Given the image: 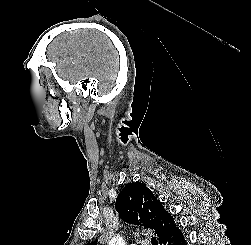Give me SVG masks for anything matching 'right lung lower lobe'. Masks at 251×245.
I'll list each match as a JSON object with an SVG mask.
<instances>
[{
	"mask_svg": "<svg viewBox=\"0 0 251 245\" xmlns=\"http://www.w3.org/2000/svg\"><path fill=\"white\" fill-rule=\"evenodd\" d=\"M161 245H186L184 237L178 229L173 235L165 240Z\"/></svg>",
	"mask_w": 251,
	"mask_h": 245,
	"instance_id": "obj_1",
	"label": "right lung lower lobe"
}]
</instances>
